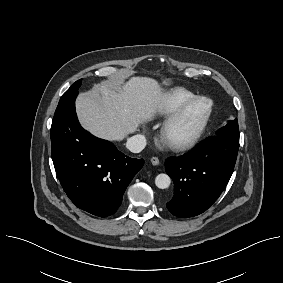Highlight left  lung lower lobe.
<instances>
[{"mask_svg": "<svg viewBox=\"0 0 283 283\" xmlns=\"http://www.w3.org/2000/svg\"><path fill=\"white\" fill-rule=\"evenodd\" d=\"M238 148V143L215 135L186 156L168 159L165 170L174 182V195L166 204L168 210L178 217L206 211L226 187Z\"/></svg>", "mask_w": 283, "mask_h": 283, "instance_id": "left-lung-lower-lobe-1", "label": "left lung lower lobe"}]
</instances>
